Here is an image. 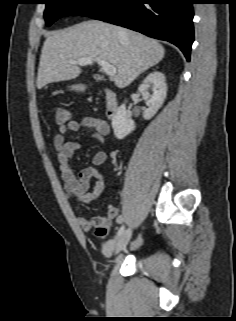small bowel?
Wrapping results in <instances>:
<instances>
[{"label": "small bowel", "instance_id": "small-bowel-1", "mask_svg": "<svg viewBox=\"0 0 236 321\" xmlns=\"http://www.w3.org/2000/svg\"><path fill=\"white\" fill-rule=\"evenodd\" d=\"M84 127L93 129V137L101 144L105 143V137L111 133V127L107 121L97 116L89 115L80 121L71 120L65 125L59 126L58 132L53 138L59 169L64 181L65 196L72 206L95 201L100 197L105 188L104 177L97 169V166H101L106 162V152H96L92 158V165L85 167L78 174L71 167V158L77 152L80 145L77 141H66L65 135L77 132ZM92 179L95 180V183L92 189H90V180ZM114 219L121 221L119 210L116 206L109 205L107 217L89 219L81 214L78 216V223L83 230L90 231L96 226L110 225ZM112 248V243L109 242L104 247V253L109 254Z\"/></svg>", "mask_w": 236, "mask_h": 321}]
</instances>
